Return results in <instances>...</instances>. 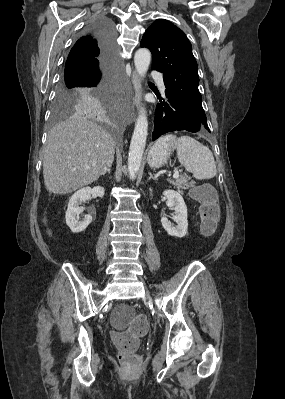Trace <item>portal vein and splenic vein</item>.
I'll list each match as a JSON object with an SVG mask.
<instances>
[{"label":"portal vein and splenic vein","instance_id":"portal-vein-and-splenic-vein-1","mask_svg":"<svg viewBox=\"0 0 285 399\" xmlns=\"http://www.w3.org/2000/svg\"><path fill=\"white\" fill-rule=\"evenodd\" d=\"M180 174L179 172L176 170L175 173L173 174V178H179Z\"/></svg>","mask_w":285,"mask_h":399}]
</instances>
